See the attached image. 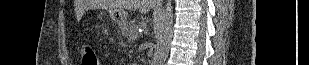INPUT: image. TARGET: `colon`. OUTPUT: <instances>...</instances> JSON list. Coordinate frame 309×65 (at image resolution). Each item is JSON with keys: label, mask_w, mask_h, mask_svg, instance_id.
<instances>
[{"label": "colon", "mask_w": 309, "mask_h": 65, "mask_svg": "<svg viewBox=\"0 0 309 65\" xmlns=\"http://www.w3.org/2000/svg\"><path fill=\"white\" fill-rule=\"evenodd\" d=\"M80 53L82 58V65H100L94 48L90 44H82L80 48Z\"/></svg>", "instance_id": "obj_1"}]
</instances>
